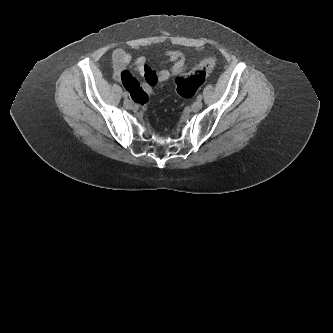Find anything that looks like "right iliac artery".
Instances as JSON below:
<instances>
[{
  "label": "right iliac artery",
  "mask_w": 333,
  "mask_h": 333,
  "mask_svg": "<svg viewBox=\"0 0 333 333\" xmlns=\"http://www.w3.org/2000/svg\"><path fill=\"white\" fill-rule=\"evenodd\" d=\"M123 96H124L125 98H127L128 93H127V92H124V93H123Z\"/></svg>",
  "instance_id": "right-iliac-artery-1"
}]
</instances>
